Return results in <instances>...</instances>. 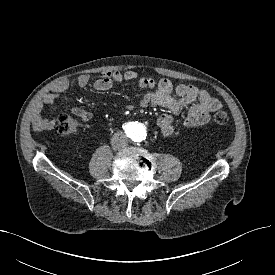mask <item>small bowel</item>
<instances>
[{
    "label": "small bowel",
    "instance_id": "c3829d8e",
    "mask_svg": "<svg viewBox=\"0 0 275 275\" xmlns=\"http://www.w3.org/2000/svg\"><path fill=\"white\" fill-rule=\"evenodd\" d=\"M122 81H134L140 87L151 90L141 100L142 107L156 106L165 108L168 111V113L158 118V126L165 137H169L174 133L173 116L180 114L185 108L188 109L187 117L183 122L185 128H195L207 124L211 113L222 108L221 101L206 90L199 89L191 84L174 86L166 78L156 82L151 77L140 75L134 71L104 72L93 83V87L98 91H105ZM76 83L80 87H85L89 83V78L84 74L79 75ZM67 88V80L56 82L51 91L43 97V105H52ZM172 93H175L178 99L173 98ZM72 112L85 122L92 118L89 111L78 107L73 108ZM55 124V119L46 117L43 113V106H39L33 116V128L37 131L51 130Z\"/></svg>",
    "mask_w": 275,
    "mask_h": 275
}]
</instances>
